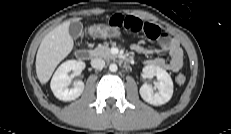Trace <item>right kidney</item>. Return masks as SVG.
<instances>
[{"instance_id": "right-kidney-1", "label": "right kidney", "mask_w": 231, "mask_h": 134, "mask_svg": "<svg viewBox=\"0 0 231 134\" xmlns=\"http://www.w3.org/2000/svg\"><path fill=\"white\" fill-rule=\"evenodd\" d=\"M85 68V63L82 61L68 60L62 63L54 73L50 87L56 98L62 101H72L78 98L84 90L82 81L74 82L73 88L69 89L71 78L68 73L73 71L78 75Z\"/></svg>"}]
</instances>
